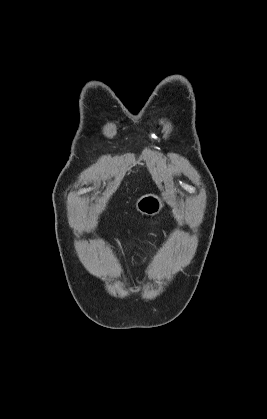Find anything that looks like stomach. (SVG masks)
I'll use <instances>...</instances> for the list:
<instances>
[{
    "instance_id": "0dacf381",
    "label": "stomach",
    "mask_w": 267,
    "mask_h": 419,
    "mask_svg": "<svg viewBox=\"0 0 267 419\" xmlns=\"http://www.w3.org/2000/svg\"><path fill=\"white\" fill-rule=\"evenodd\" d=\"M135 206L137 211L141 214L154 216L162 210L164 204L159 196L155 194H146L136 201Z\"/></svg>"
}]
</instances>
